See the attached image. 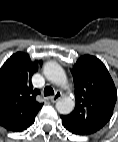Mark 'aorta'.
Masks as SVG:
<instances>
[{
	"label": "aorta",
	"instance_id": "aorta-1",
	"mask_svg": "<svg viewBox=\"0 0 118 142\" xmlns=\"http://www.w3.org/2000/svg\"><path fill=\"white\" fill-rule=\"evenodd\" d=\"M45 77L58 86H65L68 82L63 68L56 62H47L43 67ZM75 107V100L66 96L59 99L56 103V109L60 114H69Z\"/></svg>",
	"mask_w": 118,
	"mask_h": 142
}]
</instances>
